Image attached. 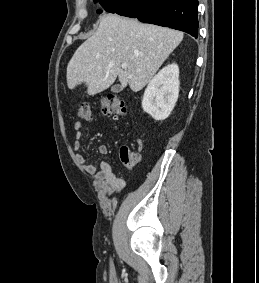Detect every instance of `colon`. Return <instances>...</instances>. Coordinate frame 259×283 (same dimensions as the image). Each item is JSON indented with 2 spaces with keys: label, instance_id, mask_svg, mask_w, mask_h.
I'll return each mask as SVG.
<instances>
[{
  "label": "colon",
  "instance_id": "1",
  "mask_svg": "<svg viewBox=\"0 0 259 283\" xmlns=\"http://www.w3.org/2000/svg\"><path fill=\"white\" fill-rule=\"evenodd\" d=\"M100 112L103 115H115L117 117H123L127 114V106L119 97L110 94L101 99ZM77 115L80 119L87 121L94 118V113L89 103L80 104L77 110ZM120 155L123 164L128 166L135 165L140 159V153L128 146H123L121 148Z\"/></svg>",
  "mask_w": 259,
  "mask_h": 283
}]
</instances>
